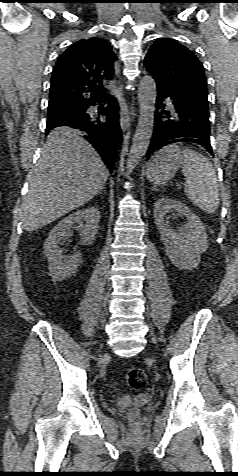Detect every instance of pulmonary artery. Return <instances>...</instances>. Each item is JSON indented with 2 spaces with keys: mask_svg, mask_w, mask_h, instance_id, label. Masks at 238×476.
I'll use <instances>...</instances> for the list:
<instances>
[{
  "mask_svg": "<svg viewBox=\"0 0 238 476\" xmlns=\"http://www.w3.org/2000/svg\"><path fill=\"white\" fill-rule=\"evenodd\" d=\"M168 105H169V106H172L171 102H168Z\"/></svg>",
  "mask_w": 238,
  "mask_h": 476,
  "instance_id": "pulmonary-artery-1",
  "label": "pulmonary artery"
}]
</instances>
